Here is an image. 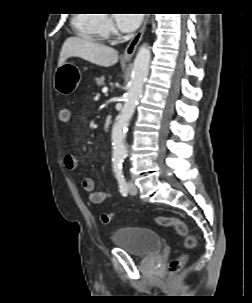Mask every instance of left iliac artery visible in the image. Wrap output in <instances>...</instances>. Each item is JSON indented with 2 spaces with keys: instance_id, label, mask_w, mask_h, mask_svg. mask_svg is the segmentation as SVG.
<instances>
[{
  "instance_id": "44dca946",
  "label": "left iliac artery",
  "mask_w": 252,
  "mask_h": 303,
  "mask_svg": "<svg viewBox=\"0 0 252 303\" xmlns=\"http://www.w3.org/2000/svg\"><path fill=\"white\" fill-rule=\"evenodd\" d=\"M113 171H114V175L119 184L120 193L123 196H126L128 193V190H127V183H126L125 177L123 175V171H122V166L121 165L114 166Z\"/></svg>"
}]
</instances>
